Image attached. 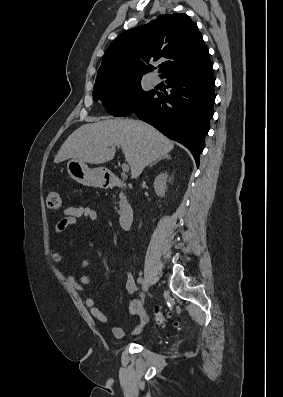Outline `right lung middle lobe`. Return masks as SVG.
Segmentation results:
<instances>
[{"label": "right lung middle lobe", "mask_w": 283, "mask_h": 397, "mask_svg": "<svg viewBox=\"0 0 283 397\" xmlns=\"http://www.w3.org/2000/svg\"><path fill=\"white\" fill-rule=\"evenodd\" d=\"M141 78L97 81L93 90L94 100H100L113 116H127L156 93L154 90L144 91L141 87Z\"/></svg>", "instance_id": "obj_1"}]
</instances>
